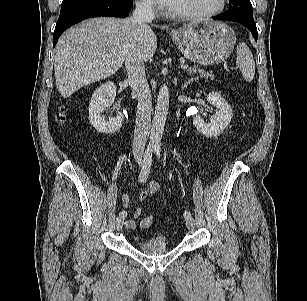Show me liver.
I'll list each match as a JSON object with an SVG mask.
<instances>
[{
  "label": "liver",
  "instance_id": "6515ba94",
  "mask_svg": "<svg viewBox=\"0 0 307 301\" xmlns=\"http://www.w3.org/2000/svg\"><path fill=\"white\" fill-rule=\"evenodd\" d=\"M136 24L131 18H92L67 30L55 47L56 85L63 98L81 87L115 74L125 61V54L135 42ZM143 61L150 60L157 49V38L147 25L140 45Z\"/></svg>",
  "mask_w": 307,
  "mask_h": 301
}]
</instances>
